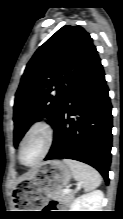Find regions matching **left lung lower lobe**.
Returning <instances> with one entry per match:
<instances>
[{
	"label": "left lung lower lobe",
	"mask_w": 123,
	"mask_h": 219,
	"mask_svg": "<svg viewBox=\"0 0 123 219\" xmlns=\"http://www.w3.org/2000/svg\"><path fill=\"white\" fill-rule=\"evenodd\" d=\"M99 56L75 81L54 125L44 160L73 159L100 172L108 183L112 147V105Z\"/></svg>",
	"instance_id": "obj_1"
}]
</instances>
